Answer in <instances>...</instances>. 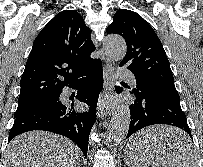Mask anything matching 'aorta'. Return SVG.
Masks as SVG:
<instances>
[{"label": "aorta", "mask_w": 203, "mask_h": 167, "mask_svg": "<svg viewBox=\"0 0 203 167\" xmlns=\"http://www.w3.org/2000/svg\"><path fill=\"white\" fill-rule=\"evenodd\" d=\"M104 50L114 61H121L127 50L125 40L118 35H109L104 40ZM131 122L130 109L126 104H121L114 112L106 132L108 146L115 145L122 141L129 130Z\"/></svg>", "instance_id": "obj_1"}]
</instances>
